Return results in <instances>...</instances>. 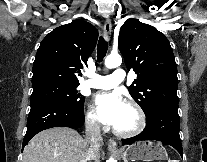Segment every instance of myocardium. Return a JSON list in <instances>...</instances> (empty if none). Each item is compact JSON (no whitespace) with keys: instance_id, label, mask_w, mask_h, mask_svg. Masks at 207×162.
<instances>
[{"instance_id":"obj_1","label":"myocardium","mask_w":207,"mask_h":162,"mask_svg":"<svg viewBox=\"0 0 207 162\" xmlns=\"http://www.w3.org/2000/svg\"><path fill=\"white\" fill-rule=\"evenodd\" d=\"M125 104L131 106L136 111V114L138 117L137 125L133 129L128 130V131L119 130L113 127V132L115 135L119 137L128 138V137H133L139 134L140 132H142L146 126L147 120H146V115H145L143 108L140 106V104L137 101L133 99H127L125 101Z\"/></svg>"}]
</instances>
